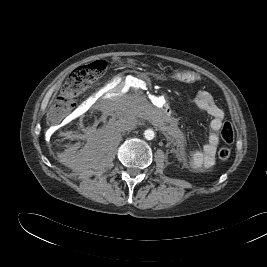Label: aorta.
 <instances>
[{
  "instance_id": "aorta-1",
  "label": "aorta",
  "mask_w": 267,
  "mask_h": 267,
  "mask_svg": "<svg viewBox=\"0 0 267 267\" xmlns=\"http://www.w3.org/2000/svg\"><path fill=\"white\" fill-rule=\"evenodd\" d=\"M144 137L147 140H152L155 137V132L152 129H147L144 131Z\"/></svg>"
}]
</instances>
